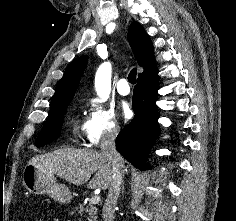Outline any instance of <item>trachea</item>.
Returning <instances> with one entry per match:
<instances>
[{"mask_svg":"<svg viewBox=\"0 0 236 221\" xmlns=\"http://www.w3.org/2000/svg\"><path fill=\"white\" fill-rule=\"evenodd\" d=\"M136 75H137V68H133L129 75H128V81L131 83V84H135L136 83Z\"/></svg>","mask_w":236,"mask_h":221,"instance_id":"3493384b","label":"trachea"}]
</instances>
